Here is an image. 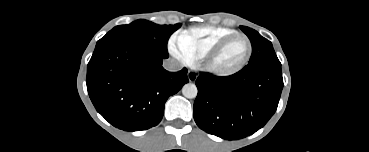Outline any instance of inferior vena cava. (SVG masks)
<instances>
[{"label":"inferior vena cava","instance_id":"602c4592","mask_svg":"<svg viewBox=\"0 0 369 152\" xmlns=\"http://www.w3.org/2000/svg\"><path fill=\"white\" fill-rule=\"evenodd\" d=\"M163 67L170 72H176L182 69V65L173 58L164 60Z\"/></svg>","mask_w":369,"mask_h":152}]
</instances>
